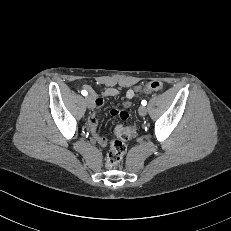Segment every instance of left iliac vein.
Returning <instances> with one entry per match:
<instances>
[{"label": "left iliac vein", "mask_w": 231, "mask_h": 231, "mask_svg": "<svg viewBox=\"0 0 231 231\" xmlns=\"http://www.w3.org/2000/svg\"><path fill=\"white\" fill-rule=\"evenodd\" d=\"M138 112L141 116H145L147 114V108L145 106H141L139 107Z\"/></svg>", "instance_id": "obj_1"}]
</instances>
